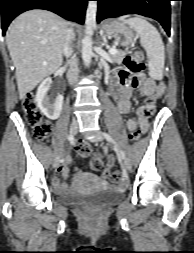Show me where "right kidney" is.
Masks as SVG:
<instances>
[{
  "instance_id": "ca27d5eb",
  "label": "right kidney",
  "mask_w": 194,
  "mask_h": 253,
  "mask_svg": "<svg viewBox=\"0 0 194 253\" xmlns=\"http://www.w3.org/2000/svg\"><path fill=\"white\" fill-rule=\"evenodd\" d=\"M51 78H46L38 87L36 94V103L41 112L49 119L55 120L59 118L62 105L63 96L58 95L55 98L48 95L51 87Z\"/></svg>"
}]
</instances>
